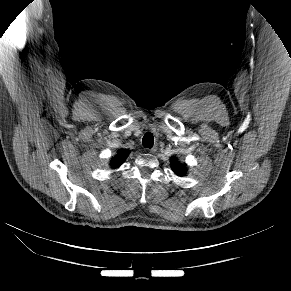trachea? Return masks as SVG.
<instances>
[{
  "label": "trachea",
  "mask_w": 291,
  "mask_h": 291,
  "mask_svg": "<svg viewBox=\"0 0 291 291\" xmlns=\"http://www.w3.org/2000/svg\"><path fill=\"white\" fill-rule=\"evenodd\" d=\"M142 144L145 148H152L154 144V138L151 133H146L142 139Z\"/></svg>",
  "instance_id": "obj_1"
}]
</instances>
